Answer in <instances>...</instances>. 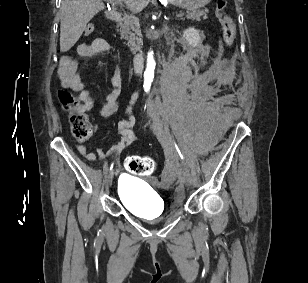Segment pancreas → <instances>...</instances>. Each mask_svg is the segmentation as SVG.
Returning a JSON list of instances; mask_svg holds the SVG:
<instances>
[{
  "label": "pancreas",
  "instance_id": "obj_1",
  "mask_svg": "<svg viewBox=\"0 0 308 283\" xmlns=\"http://www.w3.org/2000/svg\"><path fill=\"white\" fill-rule=\"evenodd\" d=\"M207 12L208 10L202 11H193L192 13H188L186 17L191 20H197L200 21L201 17L203 19L207 18ZM118 27H120V35L121 38L128 41V46H131V51L133 53L140 51L141 49V40L136 34H139L140 32V24L137 17H135L133 14L128 15L124 14L122 22L118 24Z\"/></svg>",
  "mask_w": 308,
  "mask_h": 283
}]
</instances>
